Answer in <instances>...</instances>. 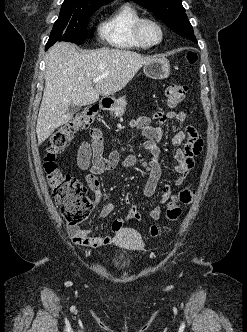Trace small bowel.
I'll list each match as a JSON object with an SVG mask.
<instances>
[{
  "label": "small bowel",
  "mask_w": 247,
  "mask_h": 332,
  "mask_svg": "<svg viewBox=\"0 0 247 332\" xmlns=\"http://www.w3.org/2000/svg\"><path fill=\"white\" fill-rule=\"evenodd\" d=\"M184 111H160L153 115H146L134 119L130 126L140 129L142 135L146 138L143 144L144 149L150 154L147 161L141 162L142 166L148 172V179L143 193L146 197L155 194L161 177V166L159 163L160 148L159 142L163 136L161 125L168 120H178L180 122L186 119ZM185 141L183 148L175 152L176 165L174 167L178 177L174 184L180 187L184 184L189 171L194 166V158L200 154L203 147V140L195 127L189 125L184 130L176 133L173 138L174 144H180ZM103 134L99 129L91 131V142L81 144L78 151L77 163L81 170L85 171V180L91 190L95 202L99 205V216L109 215L113 206L103 201V193L100 189L98 176L113 171L119 164L124 167H132L138 163L136 154L121 158L118 151L114 150L109 155L103 154ZM171 196V187L166 184L162 188L160 202L165 203ZM128 200V196L126 197ZM162 209L156 205L150 211V217L153 220L160 219ZM142 214L136 204L128 202L127 220H141ZM70 239L78 245L86 247H103L114 243L115 235H93L89 228H81L77 225H70L67 229Z\"/></svg>",
  "instance_id": "c3829d8e"
}]
</instances>
